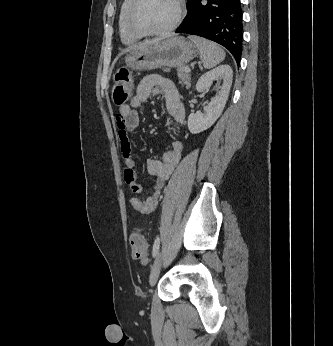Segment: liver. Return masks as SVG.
Returning <instances> with one entry per match:
<instances>
[{"label":"liver","mask_w":333,"mask_h":346,"mask_svg":"<svg viewBox=\"0 0 333 346\" xmlns=\"http://www.w3.org/2000/svg\"><path fill=\"white\" fill-rule=\"evenodd\" d=\"M163 38H156V39H153V40H148V41H144L138 45H133L129 48V50H134V49H137V48H140V47H143V46H146V45H150V44H154V43H158L160 41H162Z\"/></svg>","instance_id":"1"}]
</instances>
